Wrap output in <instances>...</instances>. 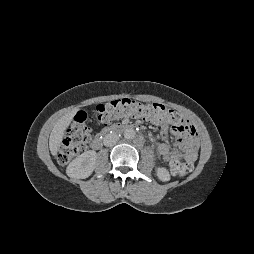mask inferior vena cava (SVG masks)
Returning a JSON list of instances; mask_svg holds the SVG:
<instances>
[{
    "label": "inferior vena cava",
    "instance_id": "inferior-vena-cava-1",
    "mask_svg": "<svg viewBox=\"0 0 254 254\" xmlns=\"http://www.w3.org/2000/svg\"><path fill=\"white\" fill-rule=\"evenodd\" d=\"M119 140V136L116 133H108L104 137V145L107 147L114 146Z\"/></svg>",
    "mask_w": 254,
    "mask_h": 254
}]
</instances>
